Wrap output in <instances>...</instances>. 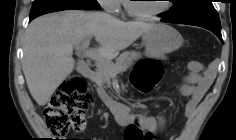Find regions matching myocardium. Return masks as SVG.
<instances>
[{
	"mask_svg": "<svg viewBox=\"0 0 236 140\" xmlns=\"http://www.w3.org/2000/svg\"><path fill=\"white\" fill-rule=\"evenodd\" d=\"M131 1L132 0H127L125 2V8H126L127 12L132 17L137 18V19H151V18L157 17V16L167 12L171 8V3L169 1H167L164 8H162L158 11L144 13V12H140L137 9H135L133 6V2H131Z\"/></svg>",
	"mask_w": 236,
	"mask_h": 140,
	"instance_id": "obj_1",
	"label": "myocardium"
}]
</instances>
